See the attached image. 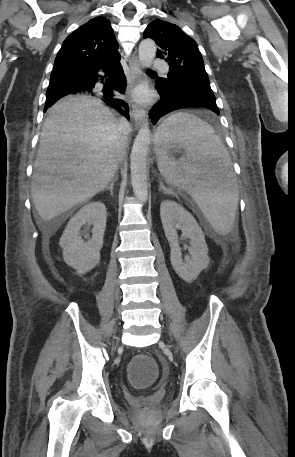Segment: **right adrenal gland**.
Listing matches in <instances>:
<instances>
[{
	"mask_svg": "<svg viewBox=\"0 0 295 457\" xmlns=\"http://www.w3.org/2000/svg\"><path fill=\"white\" fill-rule=\"evenodd\" d=\"M117 179H118V176H115V177L111 180L109 186H107V187L105 188V190L107 189V190L110 191V194H111V195H113V188H114V185H115V182L117 181Z\"/></svg>",
	"mask_w": 295,
	"mask_h": 457,
	"instance_id": "right-adrenal-gland-1",
	"label": "right adrenal gland"
}]
</instances>
